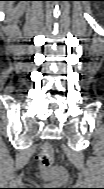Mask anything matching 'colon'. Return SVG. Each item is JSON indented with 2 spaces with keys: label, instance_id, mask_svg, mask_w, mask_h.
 I'll return each mask as SVG.
<instances>
[{
  "label": "colon",
  "instance_id": "1",
  "mask_svg": "<svg viewBox=\"0 0 104 189\" xmlns=\"http://www.w3.org/2000/svg\"><path fill=\"white\" fill-rule=\"evenodd\" d=\"M38 160L44 178L56 180L61 177L62 173L59 170L53 168L54 150L50 145L45 144L42 146L38 155Z\"/></svg>",
  "mask_w": 104,
  "mask_h": 189
}]
</instances>
